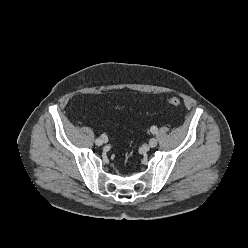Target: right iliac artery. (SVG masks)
<instances>
[{
  "label": "right iliac artery",
  "mask_w": 248,
  "mask_h": 248,
  "mask_svg": "<svg viewBox=\"0 0 248 248\" xmlns=\"http://www.w3.org/2000/svg\"><path fill=\"white\" fill-rule=\"evenodd\" d=\"M102 138V137H101ZM101 138H96V140H95V145L96 146H101L102 145V140H101Z\"/></svg>",
  "instance_id": "82829eb1"
}]
</instances>
